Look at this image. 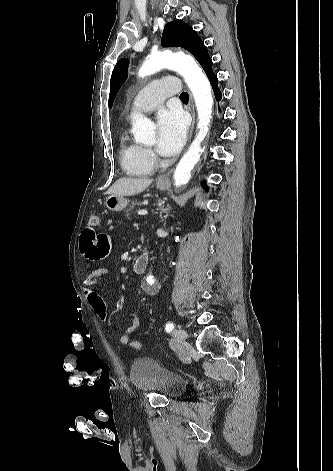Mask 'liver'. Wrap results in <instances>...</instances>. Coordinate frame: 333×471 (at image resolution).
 Masks as SVG:
<instances>
[{"mask_svg": "<svg viewBox=\"0 0 333 471\" xmlns=\"http://www.w3.org/2000/svg\"><path fill=\"white\" fill-rule=\"evenodd\" d=\"M153 179L148 178H120L106 192V194L131 196L143 192Z\"/></svg>", "mask_w": 333, "mask_h": 471, "instance_id": "6515ba94", "label": "liver"}]
</instances>
